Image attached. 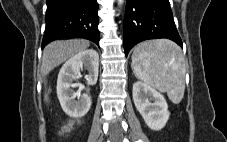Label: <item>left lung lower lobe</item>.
Segmentation results:
<instances>
[{
	"label": "left lung lower lobe",
	"instance_id": "obj_1",
	"mask_svg": "<svg viewBox=\"0 0 227 142\" xmlns=\"http://www.w3.org/2000/svg\"><path fill=\"white\" fill-rule=\"evenodd\" d=\"M124 50L148 39L167 38L182 47L169 0H127L123 24Z\"/></svg>",
	"mask_w": 227,
	"mask_h": 142
}]
</instances>
